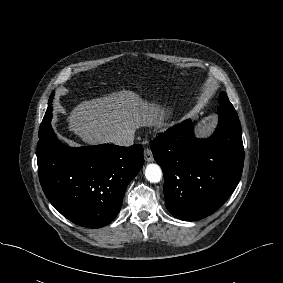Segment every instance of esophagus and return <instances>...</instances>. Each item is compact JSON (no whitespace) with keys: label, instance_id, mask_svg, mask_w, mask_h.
<instances>
[{"label":"esophagus","instance_id":"1","mask_svg":"<svg viewBox=\"0 0 283 283\" xmlns=\"http://www.w3.org/2000/svg\"><path fill=\"white\" fill-rule=\"evenodd\" d=\"M144 159L146 162H152L154 160L153 153L150 148L146 147L144 150Z\"/></svg>","mask_w":283,"mask_h":283}]
</instances>
